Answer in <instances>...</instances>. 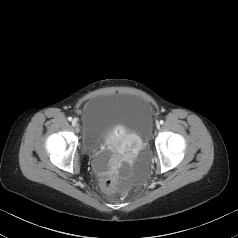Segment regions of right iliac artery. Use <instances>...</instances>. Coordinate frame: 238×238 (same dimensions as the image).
<instances>
[{
    "label": "right iliac artery",
    "instance_id": "1",
    "mask_svg": "<svg viewBox=\"0 0 238 238\" xmlns=\"http://www.w3.org/2000/svg\"><path fill=\"white\" fill-rule=\"evenodd\" d=\"M68 121H72V117H68Z\"/></svg>",
    "mask_w": 238,
    "mask_h": 238
}]
</instances>
